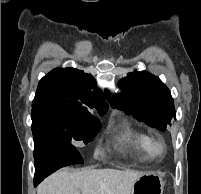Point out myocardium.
<instances>
[{"instance_id":"obj_1","label":"myocardium","mask_w":201,"mask_h":194,"mask_svg":"<svg viewBox=\"0 0 201 194\" xmlns=\"http://www.w3.org/2000/svg\"><path fill=\"white\" fill-rule=\"evenodd\" d=\"M150 150L154 156H163L167 151V144L162 137H151Z\"/></svg>"}]
</instances>
